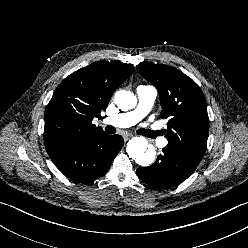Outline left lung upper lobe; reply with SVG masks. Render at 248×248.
Returning a JSON list of instances; mask_svg holds the SVG:
<instances>
[{
    "instance_id": "5c2ea615",
    "label": "left lung upper lobe",
    "mask_w": 248,
    "mask_h": 248,
    "mask_svg": "<svg viewBox=\"0 0 248 248\" xmlns=\"http://www.w3.org/2000/svg\"><path fill=\"white\" fill-rule=\"evenodd\" d=\"M139 73L158 89L162 118H169L167 149L197 167L204 156L209 132L206 100L200 87L178 69L139 63Z\"/></svg>"
}]
</instances>
